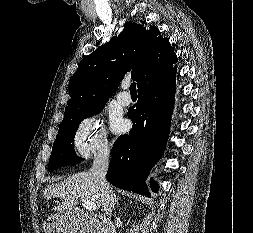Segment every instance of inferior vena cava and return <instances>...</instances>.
Instances as JSON below:
<instances>
[{"mask_svg": "<svg viewBox=\"0 0 253 233\" xmlns=\"http://www.w3.org/2000/svg\"><path fill=\"white\" fill-rule=\"evenodd\" d=\"M109 164V147H104L94 157L92 167L90 169L91 174L95 177L99 184L102 198V207L107 215L106 219V230L104 233H109L113 229L112 222L110 220L112 216V205H113V192L106 182V173Z\"/></svg>", "mask_w": 253, "mask_h": 233, "instance_id": "1", "label": "inferior vena cava"}]
</instances>
